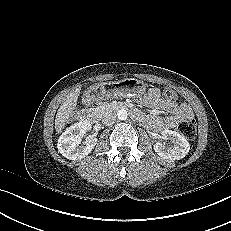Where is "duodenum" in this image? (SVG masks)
I'll list each match as a JSON object with an SVG mask.
<instances>
[{
	"mask_svg": "<svg viewBox=\"0 0 231 231\" xmlns=\"http://www.w3.org/2000/svg\"><path fill=\"white\" fill-rule=\"evenodd\" d=\"M107 90V88L105 89ZM117 109L120 110H131L132 111V115L135 119L137 120H141L142 119V113L137 111V110H133L132 106L128 103H121L117 105ZM83 121H90L93 122L96 119V114L94 113L92 108H89L85 111L84 115H83Z\"/></svg>",
	"mask_w": 231,
	"mask_h": 231,
	"instance_id": "obj_1",
	"label": "duodenum"
}]
</instances>
